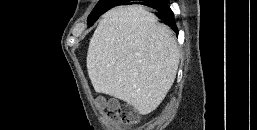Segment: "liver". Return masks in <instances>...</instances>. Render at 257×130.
I'll list each match as a JSON object with an SVG mask.
<instances>
[{
  "mask_svg": "<svg viewBox=\"0 0 257 130\" xmlns=\"http://www.w3.org/2000/svg\"><path fill=\"white\" fill-rule=\"evenodd\" d=\"M172 31L141 5L104 14L89 43L87 70L96 92L149 114L163 101L178 70Z\"/></svg>",
  "mask_w": 257,
  "mask_h": 130,
  "instance_id": "liver-1",
  "label": "liver"
}]
</instances>
